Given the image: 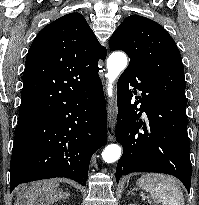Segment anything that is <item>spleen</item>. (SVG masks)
<instances>
[{"label": "spleen", "mask_w": 199, "mask_h": 205, "mask_svg": "<svg viewBox=\"0 0 199 205\" xmlns=\"http://www.w3.org/2000/svg\"><path fill=\"white\" fill-rule=\"evenodd\" d=\"M138 185L150 192L162 205H184V197L177 181L170 176L147 173L138 180Z\"/></svg>", "instance_id": "3e777b00"}]
</instances>
